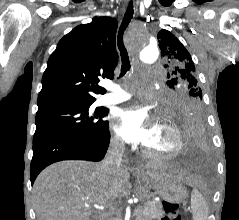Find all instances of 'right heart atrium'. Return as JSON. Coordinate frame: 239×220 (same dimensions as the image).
<instances>
[{"label": "right heart atrium", "mask_w": 239, "mask_h": 220, "mask_svg": "<svg viewBox=\"0 0 239 220\" xmlns=\"http://www.w3.org/2000/svg\"><path fill=\"white\" fill-rule=\"evenodd\" d=\"M111 144L114 148L121 150L123 148V142L117 134L111 136Z\"/></svg>", "instance_id": "obj_1"}]
</instances>
